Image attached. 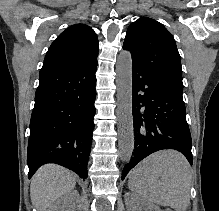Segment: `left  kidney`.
<instances>
[{
	"instance_id": "1",
	"label": "left kidney",
	"mask_w": 219,
	"mask_h": 211,
	"mask_svg": "<svg viewBox=\"0 0 219 211\" xmlns=\"http://www.w3.org/2000/svg\"><path fill=\"white\" fill-rule=\"evenodd\" d=\"M142 209H145V211H161L160 207L158 205H154V203H146V201H140V203H137L135 209H131V211H142Z\"/></svg>"
}]
</instances>
